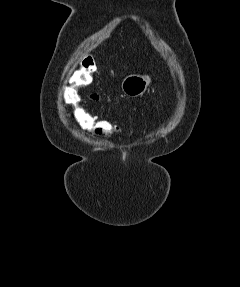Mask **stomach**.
Instances as JSON below:
<instances>
[{"mask_svg":"<svg viewBox=\"0 0 240 287\" xmlns=\"http://www.w3.org/2000/svg\"><path fill=\"white\" fill-rule=\"evenodd\" d=\"M151 83L148 75H128L121 83V89L124 95L128 97H138L145 93Z\"/></svg>","mask_w":240,"mask_h":287,"instance_id":"stomach-1","label":"stomach"}]
</instances>
